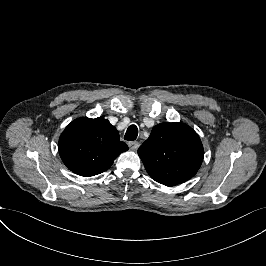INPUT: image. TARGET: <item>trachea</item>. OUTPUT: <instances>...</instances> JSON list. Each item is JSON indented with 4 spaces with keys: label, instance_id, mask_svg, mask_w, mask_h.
<instances>
[{
    "label": "trachea",
    "instance_id": "trachea-1",
    "mask_svg": "<svg viewBox=\"0 0 266 266\" xmlns=\"http://www.w3.org/2000/svg\"><path fill=\"white\" fill-rule=\"evenodd\" d=\"M138 135V129L136 125H130L126 131V134L124 136L125 140H135Z\"/></svg>",
    "mask_w": 266,
    "mask_h": 266
}]
</instances>
